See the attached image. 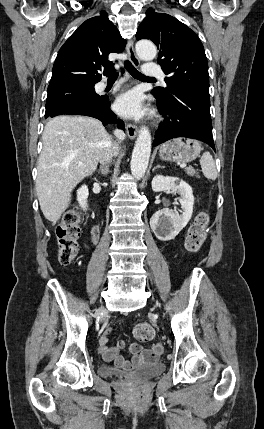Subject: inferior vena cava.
<instances>
[{
  "label": "inferior vena cava",
  "mask_w": 264,
  "mask_h": 429,
  "mask_svg": "<svg viewBox=\"0 0 264 429\" xmlns=\"http://www.w3.org/2000/svg\"><path fill=\"white\" fill-rule=\"evenodd\" d=\"M114 134L117 137V139L119 140V142H111L109 144V146L106 148V150L104 151V153L101 155L100 163L102 165V169L104 166L107 167V164H109L111 162L113 156H115L117 154L118 149H119V143L125 137V134L122 130L116 129L114 131ZM107 171H108V169L105 168V170L102 171V173L106 174Z\"/></svg>",
  "instance_id": "1"
}]
</instances>
